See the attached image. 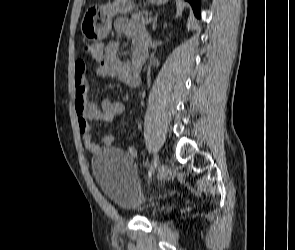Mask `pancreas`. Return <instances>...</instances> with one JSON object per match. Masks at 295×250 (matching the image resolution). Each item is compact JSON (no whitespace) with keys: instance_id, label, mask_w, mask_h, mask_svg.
I'll return each instance as SVG.
<instances>
[{"instance_id":"1","label":"pancreas","mask_w":295,"mask_h":250,"mask_svg":"<svg viewBox=\"0 0 295 250\" xmlns=\"http://www.w3.org/2000/svg\"><path fill=\"white\" fill-rule=\"evenodd\" d=\"M147 13L145 12H136L134 14L131 15V23L136 25V26H144V23H143V16L146 15Z\"/></svg>"}]
</instances>
